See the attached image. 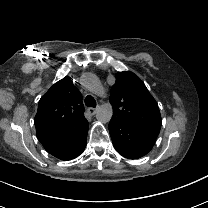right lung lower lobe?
<instances>
[{
  "label": "right lung lower lobe",
  "mask_w": 208,
  "mask_h": 208,
  "mask_svg": "<svg viewBox=\"0 0 208 208\" xmlns=\"http://www.w3.org/2000/svg\"><path fill=\"white\" fill-rule=\"evenodd\" d=\"M89 124L87 120L64 133L38 138L45 150L61 160L79 156L86 147Z\"/></svg>",
  "instance_id": "98d812e1"
}]
</instances>
